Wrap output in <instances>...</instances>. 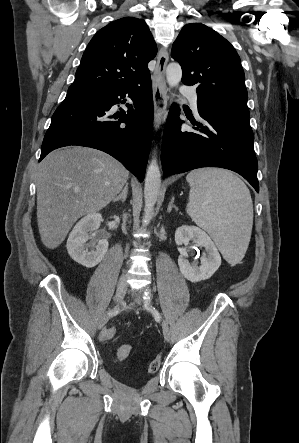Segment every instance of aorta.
<instances>
[{"label": "aorta", "instance_id": "762f6f07", "mask_svg": "<svg viewBox=\"0 0 299 443\" xmlns=\"http://www.w3.org/2000/svg\"><path fill=\"white\" fill-rule=\"evenodd\" d=\"M166 78L170 87L177 86L182 78V70L178 63H170L166 69ZM161 186V173L157 160L152 158L150 165L148 166L145 187H144V216L142 219V225L147 226L153 216L154 207L157 202Z\"/></svg>", "mask_w": 299, "mask_h": 443}]
</instances>
